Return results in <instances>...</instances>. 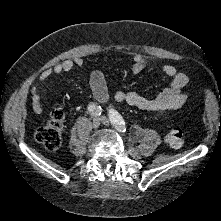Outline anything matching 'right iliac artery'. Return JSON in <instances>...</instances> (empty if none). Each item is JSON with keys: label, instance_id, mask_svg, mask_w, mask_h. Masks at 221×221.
Returning a JSON list of instances; mask_svg holds the SVG:
<instances>
[{"label": "right iliac artery", "instance_id": "obj_1", "mask_svg": "<svg viewBox=\"0 0 221 221\" xmlns=\"http://www.w3.org/2000/svg\"><path fill=\"white\" fill-rule=\"evenodd\" d=\"M88 111L92 116H100L102 113V108L96 103L92 102L88 105Z\"/></svg>", "mask_w": 221, "mask_h": 221}]
</instances>
